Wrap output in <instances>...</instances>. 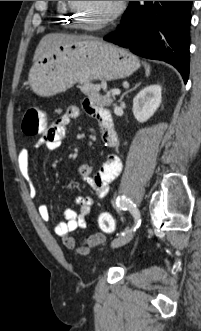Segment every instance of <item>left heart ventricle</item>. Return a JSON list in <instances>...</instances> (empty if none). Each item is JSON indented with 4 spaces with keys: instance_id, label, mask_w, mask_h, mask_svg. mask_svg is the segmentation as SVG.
Segmentation results:
<instances>
[{
    "instance_id": "1",
    "label": "left heart ventricle",
    "mask_w": 201,
    "mask_h": 331,
    "mask_svg": "<svg viewBox=\"0 0 201 331\" xmlns=\"http://www.w3.org/2000/svg\"><path fill=\"white\" fill-rule=\"evenodd\" d=\"M82 16L90 23H96L110 14L117 1H76Z\"/></svg>"
}]
</instances>
